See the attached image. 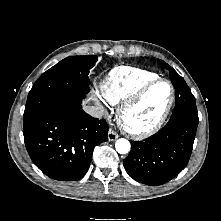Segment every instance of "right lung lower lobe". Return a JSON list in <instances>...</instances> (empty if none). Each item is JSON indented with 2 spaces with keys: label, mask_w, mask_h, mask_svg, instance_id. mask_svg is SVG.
<instances>
[{
  "label": "right lung lower lobe",
  "mask_w": 221,
  "mask_h": 221,
  "mask_svg": "<svg viewBox=\"0 0 221 221\" xmlns=\"http://www.w3.org/2000/svg\"><path fill=\"white\" fill-rule=\"evenodd\" d=\"M108 125L67 103L49 110L24 128V141L34 164L50 178L79 180L87 172L93 149L108 140Z\"/></svg>",
  "instance_id": "right-lung-lower-lobe-1"
}]
</instances>
